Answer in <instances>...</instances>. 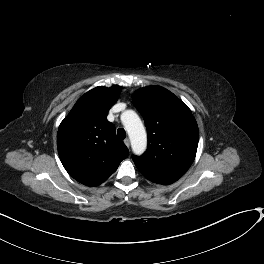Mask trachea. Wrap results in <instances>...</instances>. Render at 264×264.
I'll return each mask as SVG.
<instances>
[{"label":"trachea","mask_w":264,"mask_h":264,"mask_svg":"<svg viewBox=\"0 0 264 264\" xmlns=\"http://www.w3.org/2000/svg\"><path fill=\"white\" fill-rule=\"evenodd\" d=\"M117 135H118V137H119L120 139H125V137H126V132H125V130H124L123 128H119V129L117 130Z\"/></svg>","instance_id":"trachea-1"}]
</instances>
